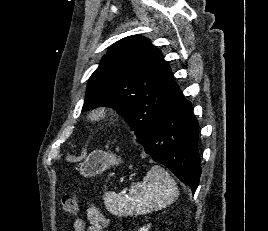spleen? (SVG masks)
Masks as SVG:
<instances>
[{"label":"spleen","instance_id":"3e777b00","mask_svg":"<svg viewBox=\"0 0 268 231\" xmlns=\"http://www.w3.org/2000/svg\"><path fill=\"white\" fill-rule=\"evenodd\" d=\"M178 195L175 180L164 168L154 165L142 182L131 186L129 196L107 192L103 200L106 208L113 215L137 216L171 205Z\"/></svg>","mask_w":268,"mask_h":231}]
</instances>
